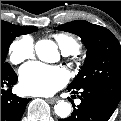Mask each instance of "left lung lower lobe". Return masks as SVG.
Listing matches in <instances>:
<instances>
[{"mask_svg":"<svg viewBox=\"0 0 121 121\" xmlns=\"http://www.w3.org/2000/svg\"><path fill=\"white\" fill-rule=\"evenodd\" d=\"M67 89L72 93H77L76 90L81 91V95L78 96L81 104L76 108L73 104L74 110L71 116L59 121H108L120 101L98 88Z\"/></svg>","mask_w":121,"mask_h":121,"instance_id":"1","label":"left lung lower lobe"}]
</instances>
